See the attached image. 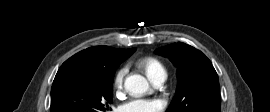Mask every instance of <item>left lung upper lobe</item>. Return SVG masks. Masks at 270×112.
<instances>
[{
  "label": "left lung upper lobe",
  "instance_id": "5c2ea615",
  "mask_svg": "<svg viewBox=\"0 0 270 112\" xmlns=\"http://www.w3.org/2000/svg\"><path fill=\"white\" fill-rule=\"evenodd\" d=\"M177 67L178 87L166 112H220L219 80L210 60L182 42L155 50Z\"/></svg>",
  "mask_w": 270,
  "mask_h": 112
}]
</instances>
